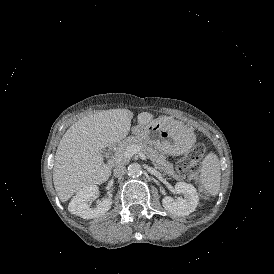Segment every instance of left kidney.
Returning <instances> with one entry per match:
<instances>
[{"mask_svg":"<svg viewBox=\"0 0 274 274\" xmlns=\"http://www.w3.org/2000/svg\"><path fill=\"white\" fill-rule=\"evenodd\" d=\"M175 191L182 194L183 197L173 199L170 196H166L162 200L163 207L171 214L180 217L187 216L195 211L199 202L196 188L192 184L178 182L175 185Z\"/></svg>","mask_w":274,"mask_h":274,"instance_id":"5707ae66","label":"left kidney"}]
</instances>
